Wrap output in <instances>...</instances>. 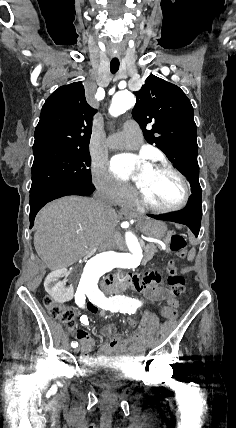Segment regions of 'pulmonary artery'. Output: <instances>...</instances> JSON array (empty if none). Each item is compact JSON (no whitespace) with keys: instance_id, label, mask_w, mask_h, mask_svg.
<instances>
[{"instance_id":"1","label":"pulmonary artery","mask_w":236,"mask_h":428,"mask_svg":"<svg viewBox=\"0 0 236 428\" xmlns=\"http://www.w3.org/2000/svg\"><path fill=\"white\" fill-rule=\"evenodd\" d=\"M119 136H122V133H118V134L114 135V138L119 137ZM109 146L111 148H115V149H133V148L137 147V145H134L131 142L117 143V142H112L111 140L109 142Z\"/></svg>"}]
</instances>
